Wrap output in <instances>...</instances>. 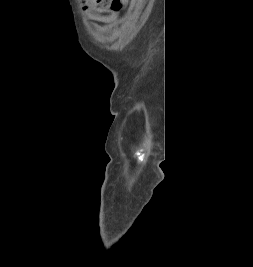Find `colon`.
<instances>
[{
    "label": "colon",
    "mask_w": 253,
    "mask_h": 267,
    "mask_svg": "<svg viewBox=\"0 0 253 267\" xmlns=\"http://www.w3.org/2000/svg\"><path fill=\"white\" fill-rule=\"evenodd\" d=\"M127 0H81L80 4L84 9H93L100 5L118 11L122 9Z\"/></svg>",
    "instance_id": "colon-1"
}]
</instances>
